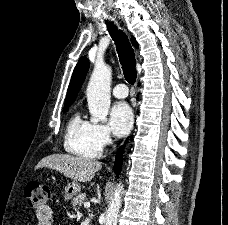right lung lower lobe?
I'll return each instance as SVG.
<instances>
[{
	"label": "right lung lower lobe",
	"instance_id": "1",
	"mask_svg": "<svg viewBox=\"0 0 228 225\" xmlns=\"http://www.w3.org/2000/svg\"><path fill=\"white\" fill-rule=\"evenodd\" d=\"M120 152L121 153L123 152L122 147L118 150V153L116 155V161L114 163V172L116 173L117 176L120 174L121 167H122V157L121 155H119Z\"/></svg>",
	"mask_w": 228,
	"mask_h": 225
}]
</instances>
